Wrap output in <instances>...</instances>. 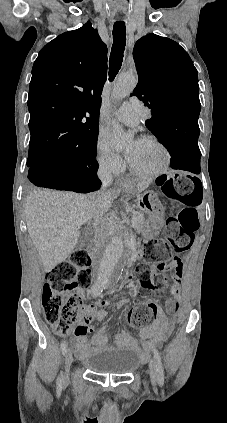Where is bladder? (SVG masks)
I'll list each match as a JSON object with an SVG mask.
<instances>
[{"label":"bladder","mask_w":227,"mask_h":423,"mask_svg":"<svg viewBox=\"0 0 227 423\" xmlns=\"http://www.w3.org/2000/svg\"><path fill=\"white\" fill-rule=\"evenodd\" d=\"M83 363L91 373L121 377L135 370L139 360L133 349L112 346L87 356Z\"/></svg>","instance_id":"31cf9c89"}]
</instances>
